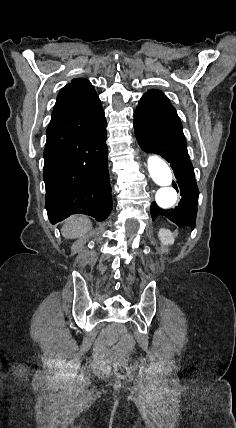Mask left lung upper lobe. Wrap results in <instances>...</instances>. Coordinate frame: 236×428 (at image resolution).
I'll use <instances>...</instances> for the list:
<instances>
[{"mask_svg":"<svg viewBox=\"0 0 236 428\" xmlns=\"http://www.w3.org/2000/svg\"><path fill=\"white\" fill-rule=\"evenodd\" d=\"M139 103H154L161 106H172L169 99L159 90L151 89L140 99Z\"/></svg>","mask_w":236,"mask_h":428,"instance_id":"1","label":"left lung upper lobe"}]
</instances>
